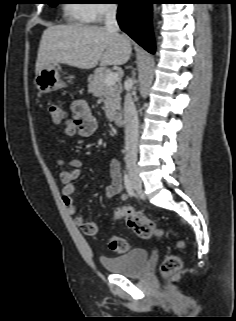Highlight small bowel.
<instances>
[{
    "label": "small bowel",
    "instance_id": "1",
    "mask_svg": "<svg viewBox=\"0 0 236 321\" xmlns=\"http://www.w3.org/2000/svg\"><path fill=\"white\" fill-rule=\"evenodd\" d=\"M72 118L65 120L60 135L64 137H90L97 130L98 123L92 114L88 102L85 99H76L71 104ZM58 164L62 167L59 173L62 187L63 204L70 215L74 216V223L88 235L95 234L97 226L94 222L88 221L83 215L77 214V205L75 202L76 187L74 181L81 175V161L58 160ZM70 167V168H67ZM111 184L106 189V196L119 197L122 200L127 198L123 192L122 174L120 163L116 158H112L109 164Z\"/></svg>",
    "mask_w": 236,
    "mask_h": 321
}]
</instances>
